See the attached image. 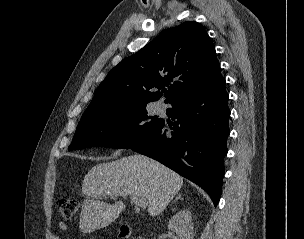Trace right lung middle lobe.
<instances>
[{
    "mask_svg": "<svg viewBox=\"0 0 304 239\" xmlns=\"http://www.w3.org/2000/svg\"><path fill=\"white\" fill-rule=\"evenodd\" d=\"M146 105L119 106L81 118L68 151L100 146L130 149L159 126Z\"/></svg>",
    "mask_w": 304,
    "mask_h": 239,
    "instance_id": "dd1d6c3e",
    "label": "right lung middle lobe"
}]
</instances>
